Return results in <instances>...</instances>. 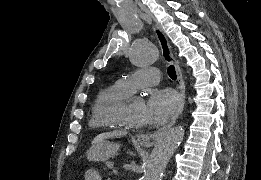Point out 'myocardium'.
Here are the masks:
<instances>
[{
    "mask_svg": "<svg viewBox=\"0 0 261 180\" xmlns=\"http://www.w3.org/2000/svg\"><path fill=\"white\" fill-rule=\"evenodd\" d=\"M131 96L128 95L125 99L124 106L118 108L115 112V127L120 134V136L126 137V138H133V139H140L146 134L150 133L152 131V126L149 125L144 131H139L138 129L127 125L122 119L121 115L126 110L128 99Z\"/></svg>",
    "mask_w": 261,
    "mask_h": 180,
    "instance_id": "1",
    "label": "myocardium"
}]
</instances>
